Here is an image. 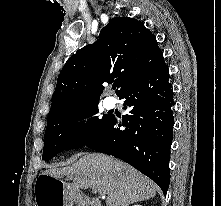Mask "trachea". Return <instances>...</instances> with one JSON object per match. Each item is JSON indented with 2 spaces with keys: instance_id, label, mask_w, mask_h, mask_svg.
<instances>
[{
  "instance_id": "1",
  "label": "trachea",
  "mask_w": 221,
  "mask_h": 206,
  "mask_svg": "<svg viewBox=\"0 0 221 206\" xmlns=\"http://www.w3.org/2000/svg\"><path fill=\"white\" fill-rule=\"evenodd\" d=\"M112 88H113V89H116V85H113Z\"/></svg>"
}]
</instances>
